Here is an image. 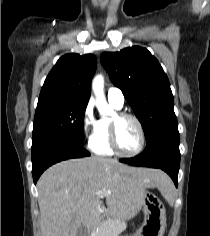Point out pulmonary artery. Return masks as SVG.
<instances>
[{
    "mask_svg": "<svg viewBox=\"0 0 210 236\" xmlns=\"http://www.w3.org/2000/svg\"><path fill=\"white\" fill-rule=\"evenodd\" d=\"M108 101L116 106L117 108H122L125 102V97L123 92L116 87H111L107 92Z\"/></svg>",
    "mask_w": 210,
    "mask_h": 236,
    "instance_id": "pulmonary-artery-1",
    "label": "pulmonary artery"
}]
</instances>
